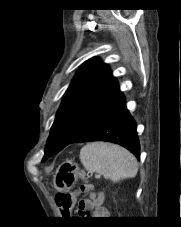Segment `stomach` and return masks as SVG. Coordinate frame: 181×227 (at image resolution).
Masks as SVG:
<instances>
[{"label": "stomach", "instance_id": "stomach-1", "mask_svg": "<svg viewBox=\"0 0 181 227\" xmlns=\"http://www.w3.org/2000/svg\"><path fill=\"white\" fill-rule=\"evenodd\" d=\"M80 171L76 163L72 161L63 162L56 170L53 177V186L56 191H68L76 184Z\"/></svg>", "mask_w": 181, "mask_h": 227}]
</instances>
